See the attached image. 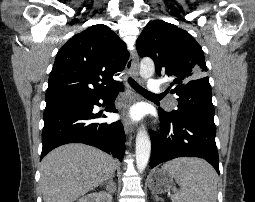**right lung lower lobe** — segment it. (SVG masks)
<instances>
[{
	"instance_id": "98d812e1",
	"label": "right lung lower lobe",
	"mask_w": 255,
	"mask_h": 202,
	"mask_svg": "<svg viewBox=\"0 0 255 202\" xmlns=\"http://www.w3.org/2000/svg\"><path fill=\"white\" fill-rule=\"evenodd\" d=\"M124 87L120 84L106 94L64 105L46 108L44 111V128L42 132L41 159L52 149L67 143H84L97 147L120 161L125 150V133L120 121L97 123L100 117L92 113L93 106H100L99 100L106 103V111L118 112L114 99ZM105 117V116H104Z\"/></svg>"
}]
</instances>
